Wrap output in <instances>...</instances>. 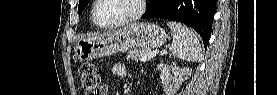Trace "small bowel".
<instances>
[{"mask_svg": "<svg viewBox=\"0 0 277 95\" xmlns=\"http://www.w3.org/2000/svg\"><path fill=\"white\" fill-rule=\"evenodd\" d=\"M113 73L119 77L127 78V68L126 65L122 62H118L113 66ZM99 95H108L109 94V86L107 84H103L98 89Z\"/></svg>", "mask_w": 277, "mask_h": 95, "instance_id": "small-bowel-1", "label": "small bowel"}]
</instances>
